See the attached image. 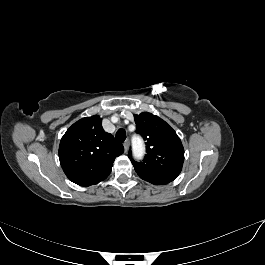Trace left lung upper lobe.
<instances>
[{"label":"left lung upper lobe","mask_w":265,"mask_h":265,"mask_svg":"<svg viewBox=\"0 0 265 265\" xmlns=\"http://www.w3.org/2000/svg\"><path fill=\"white\" fill-rule=\"evenodd\" d=\"M137 133L147 141L143 161L129 158L140 178L147 181L171 182L180 174L184 148L173 128L160 117L148 112L134 115Z\"/></svg>","instance_id":"5c2ea615"}]
</instances>
